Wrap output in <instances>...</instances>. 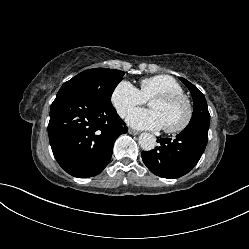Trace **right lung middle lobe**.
I'll return each instance as SVG.
<instances>
[{"label":"right lung middle lobe","mask_w":249,"mask_h":249,"mask_svg":"<svg viewBox=\"0 0 249 249\" xmlns=\"http://www.w3.org/2000/svg\"><path fill=\"white\" fill-rule=\"evenodd\" d=\"M125 72L107 68L83 71L65 82L59 91H76L105 106H112L111 95Z\"/></svg>","instance_id":"obj_1"}]
</instances>
